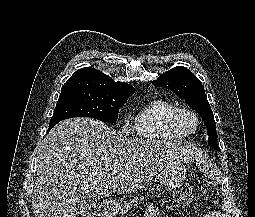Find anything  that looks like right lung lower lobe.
Returning <instances> with one entry per match:
<instances>
[{"label":"right lung lower lobe","mask_w":255,"mask_h":217,"mask_svg":"<svg viewBox=\"0 0 255 217\" xmlns=\"http://www.w3.org/2000/svg\"><path fill=\"white\" fill-rule=\"evenodd\" d=\"M54 125H56V124H54ZM54 125H49L48 132L50 131V129H51Z\"/></svg>","instance_id":"right-lung-lower-lobe-1"}]
</instances>
